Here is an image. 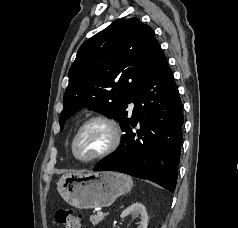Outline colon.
<instances>
[{
  "instance_id": "1",
  "label": "colon",
  "mask_w": 238,
  "mask_h": 228,
  "mask_svg": "<svg viewBox=\"0 0 238 228\" xmlns=\"http://www.w3.org/2000/svg\"><path fill=\"white\" fill-rule=\"evenodd\" d=\"M55 220L65 228H79L81 218L72 209H59L55 213Z\"/></svg>"
}]
</instances>
